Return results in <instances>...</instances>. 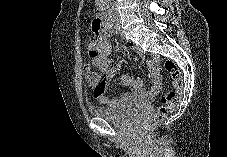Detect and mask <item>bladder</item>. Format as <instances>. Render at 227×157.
<instances>
[{"label":"bladder","instance_id":"1","mask_svg":"<svg viewBox=\"0 0 227 157\" xmlns=\"http://www.w3.org/2000/svg\"><path fill=\"white\" fill-rule=\"evenodd\" d=\"M92 115L102 118L116 126H127L140 117L144 109L139 105H125L121 107L92 106Z\"/></svg>","mask_w":227,"mask_h":157}]
</instances>
